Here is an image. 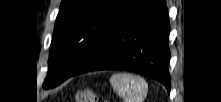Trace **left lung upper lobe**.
Returning <instances> with one entry per match:
<instances>
[{
  "label": "left lung upper lobe",
  "instance_id": "left-lung-upper-lobe-1",
  "mask_svg": "<svg viewBox=\"0 0 221 102\" xmlns=\"http://www.w3.org/2000/svg\"><path fill=\"white\" fill-rule=\"evenodd\" d=\"M133 1L62 0L43 87H56L71 77Z\"/></svg>",
  "mask_w": 221,
  "mask_h": 102
}]
</instances>
